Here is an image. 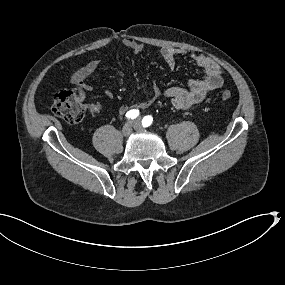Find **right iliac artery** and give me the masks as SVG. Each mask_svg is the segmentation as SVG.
<instances>
[{"instance_id":"82829eb1","label":"right iliac artery","mask_w":285,"mask_h":285,"mask_svg":"<svg viewBox=\"0 0 285 285\" xmlns=\"http://www.w3.org/2000/svg\"><path fill=\"white\" fill-rule=\"evenodd\" d=\"M139 115V110L132 109L126 113L128 119H134Z\"/></svg>"}]
</instances>
